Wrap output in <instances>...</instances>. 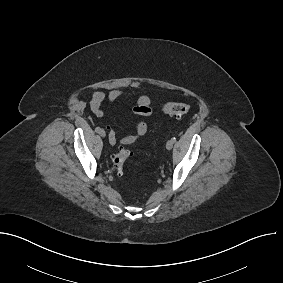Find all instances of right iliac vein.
<instances>
[{"mask_svg":"<svg viewBox=\"0 0 283 283\" xmlns=\"http://www.w3.org/2000/svg\"><path fill=\"white\" fill-rule=\"evenodd\" d=\"M99 134H100L101 137H105L106 136V133H105V131L103 129L99 132Z\"/></svg>","mask_w":283,"mask_h":283,"instance_id":"63e3f726","label":"right iliac vein"}]
</instances>
